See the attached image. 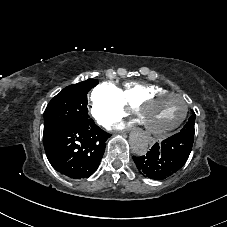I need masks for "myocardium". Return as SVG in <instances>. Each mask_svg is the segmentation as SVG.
Returning <instances> with one entry per match:
<instances>
[{"label": "myocardium", "instance_id": "f54148a6", "mask_svg": "<svg viewBox=\"0 0 227 227\" xmlns=\"http://www.w3.org/2000/svg\"><path fill=\"white\" fill-rule=\"evenodd\" d=\"M164 95H174V96L180 97L185 103L184 112L182 116L179 118V120L167 129H163V130L145 129L146 133L149 135L158 136V135H163V134L173 132L183 124V122L186 120L188 116L189 102H188L187 96L179 91L163 90V91H158V92L145 95L144 97H142L140 100L137 101V103L133 108L136 122L139 123V111L143 106Z\"/></svg>", "mask_w": 227, "mask_h": 227}]
</instances>
